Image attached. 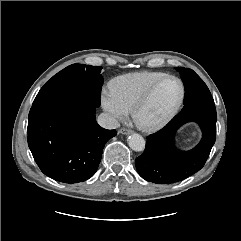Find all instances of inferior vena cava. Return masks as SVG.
<instances>
[{"instance_id": "inferior-vena-cava-1", "label": "inferior vena cava", "mask_w": 241, "mask_h": 241, "mask_svg": "<svg viewBox=\"0 0 241 241\" xmlns=\"http://www.w3.org/2000/svg\"><path fill=\"white\" fill-rule=\"evenodd\" d=\"M97 122L105 129H116L120 126L118 120L109 113H101L97 118Z\"/></svg>"}]
</instances>
